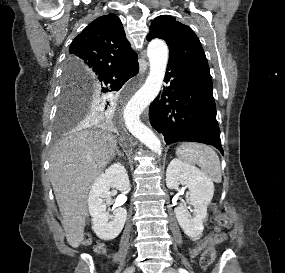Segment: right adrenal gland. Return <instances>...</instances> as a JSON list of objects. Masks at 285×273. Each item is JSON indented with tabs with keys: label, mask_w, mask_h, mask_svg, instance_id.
<instances>
[{
	"label": "right adrenal gland",
	"mask_w": 285,
	"mask_h": 273,
	"mask_svg": "<svg viewBox=\"0 0 285 273\" xmlns=\"http://www.w3.org/2000/svg\"><path fill=\"white\" fill-rule=\"evenodd\" d=\"M116 155H118L119 157H123L124 156L119 149L116 150V152L114 153L112 158H114Z\"/></svg>",
	"instance_id": "1"
}]
</instances>
